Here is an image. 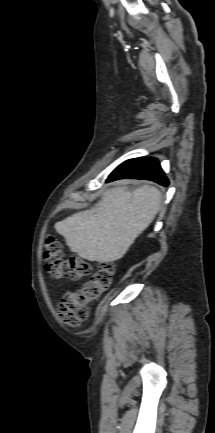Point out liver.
I'll use <instances>...</instances> for the list:
<instances>
[{
	"mask_svg": "<svg viewBox=\"0 0 215 433\" xmlns=\"http://www.w3.org/2000/svg\"><path fill=\"white\" fill-rule=\"evenodd\" d=\"M163 201L161 192L142 185L133 193L125 186L106 191L89 210L55 224L72 252L99 263L121 259L151 224Z\"/></svg>",
	"mask_w": 215,
	"mask_h": 433,
	"instance_id": "liver-1",
	"label": "liver"
}]
</instances>
